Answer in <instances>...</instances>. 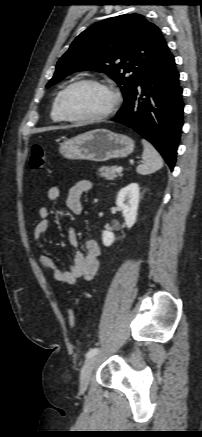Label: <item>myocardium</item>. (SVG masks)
<instances>
[{"label": "myocardium", "mask_w": 202, "mask_h": 437, "mask_svg": "<svg viewBox=\"0 0 202 437\" xmlns=\"http://www.w3.org/2000/svg\"><path fill=\"white\" fill-rule=\"evenodd\" d=\"M83 84H91L106 90L111 95V103L109 107L101 114L89 117H78L69 114L65 108L64 102L67 94L75 87ZM121 103V95L117 88L113 85L94 78H82L67 85L60 93L58 98V109L61 116L69 122L91 124L102 122L110 118L119 108Z\"/></svg>", "instance_id": "obj_1"}]
</instances>
